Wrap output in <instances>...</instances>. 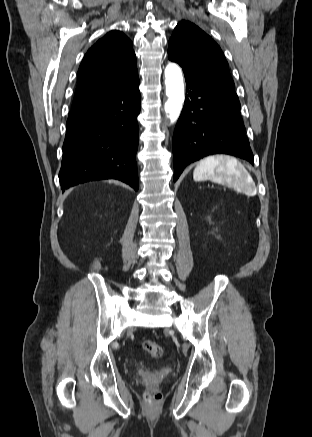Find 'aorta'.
Listing matches in <instances>:
<instances>
[{"label": "aorta", "instance_id": "aorta-1", "mask_svg": "<svg viewBox=\"0 0 312 437\" xmlns=\"http://www.w3.org/2000/svg\"><path fill=\"white\" fill-rule=\"evenodd\" d=\"M166 95L165 112L171 123H174L182 110L184 102V83L180 67L169 63L165 69Z\"/></svg>", "mask_w": 312, "mask_h": 437}]
</instances>
